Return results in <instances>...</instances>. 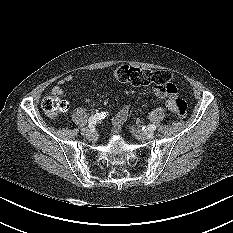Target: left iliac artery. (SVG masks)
Returning <instances> with one entry per match:
<instances>
[{
    "label": "left iliac artery",
    "instance_id": "left-iliac-artery-1",
    "mask_svg": "<svg viewBox=\"0 0 233 233\" xmlns=\"http://www.w3.org/2000/svg\"><path fill=\"white\" fill-rule=\"evenodd\" d=\"M148 130H150V131L156 130V125H154V124L150 125V126L148 127Z\"/></svg>",
    "mask_w": 233,
    "mask_h": 233
}]
</instances>
